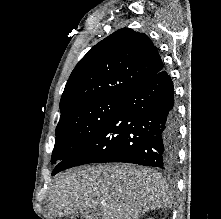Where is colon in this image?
I'll return each mask as SVG.
<instances>
[{"instance_id":"1","label":"colon","mask_w":221,"mask_h":219,"mask_svg":"<svg viewBox=\"0 0 221 219\" xmlns=\"http://www.w3.org/2000/svg\"><path fill=\"white\" fill-rule=\"evenodd\" d=\"M71 219H87V217L81 214H77L73 216Z\"/></svg>"}]
</instances>
